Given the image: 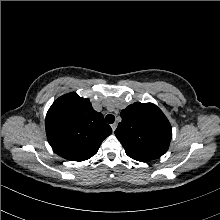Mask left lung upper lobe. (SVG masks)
Returning a JSON list of instances; mask_svg holds the SVG:
<instances>
[{"label":"left lung upper lobe","instance_id":"obj_1","mask_svg":"<svg viewBox=\"0 0 220 220\" xmlns=\"http://www.w3.org/2000/svg\"><path fill=\"white\" fill-rule=\"evenodd\" d=\"M121 117L115 135L129 157L146 162L168 150L171 125L156 105L136 102L122 110Z\"/></svg>","mask_w":220,"mask_h":220}]
</instances>
